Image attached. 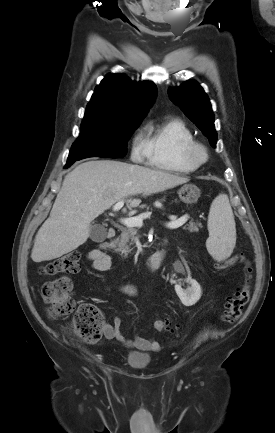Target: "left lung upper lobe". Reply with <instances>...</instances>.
I'll return each mask as SVG.
<instances>
[{"mask_svg":"<svg viewBox=\"0 0 275 433\" xmlns=\"http://www.w3.org/2000/svg\"><path fill=\"white\" fill-rule=\"evenodd\" d=\"M170 98L180 106L185 115L208 137L216 147L217 133L211 103L203 88L196 81H187L177 88L169 89Z\"/></svg>","mask_w":275,"mask_h":433,"instance_id":"1","label":"left lung upper lobe"}]
</instances>
